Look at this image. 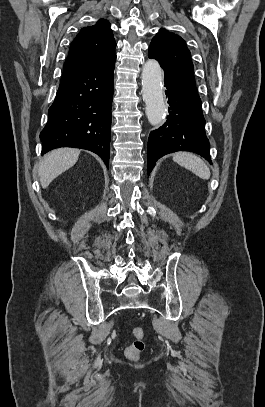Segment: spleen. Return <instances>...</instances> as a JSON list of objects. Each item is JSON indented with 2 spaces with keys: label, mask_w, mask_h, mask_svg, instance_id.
<instances>
[{
  "label": "spleen",
  "mask_w": 265,
  "mask_h": 407,
  "mask_svg": "<svg viewBox=\"0 0 265 407\" xmlns=\"http://www.w3.org/2000/svg\"><path fill=\"white\" fill-rule=\"evenodd\" d=\"M173 160L204 180L210 178V169L197 155L187 152H179L173 155Z\"/></svg>",
  "instance_id": "spleen-1"
}]
</instances>
